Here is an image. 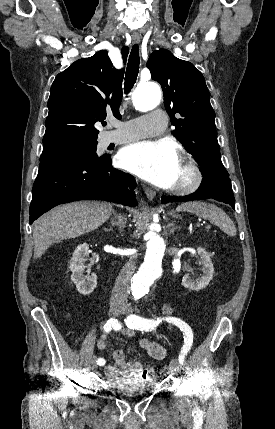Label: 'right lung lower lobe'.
I'll return each mask as SVG.
<instances>
[{"instance_id": "98d812e1", "label": "right lung lower lobe", "mask_w": 275, "mask_h": 429, "mask_svg": "<svg viewBox=\"0 0 275 429\" xmlns=\"http://www.w3.org/2000/svg\"><path fill=\"white\" fill-rule=\"evenodd\" d=\"M132 175L113 169L109 156L88 163H62L40 168L32 189L30 220L51 208L77 200H106L136 206Z\"/></svg>"}]
</instances>
